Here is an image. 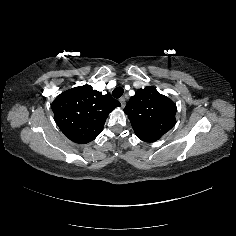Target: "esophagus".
<instances>
[{
  "mask_svg": "<svg viewBox=\"0 0 236 236\" xmlns=\"http://www.w3.org/2000/svg\"><path fill=\"white\" fill-rule=\"evenodd\" d=\"M119 101H120V103H121L122 108H124V106H125V98H124V97H121V98L119 99Z\"/></svg>",
  "mask_w": 236,
  "mask_h": 236,
  "instance_id": "1",
  "label": "esophagus"
}]
</instances>
